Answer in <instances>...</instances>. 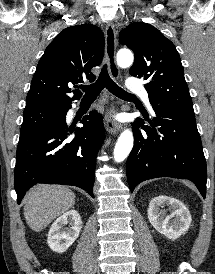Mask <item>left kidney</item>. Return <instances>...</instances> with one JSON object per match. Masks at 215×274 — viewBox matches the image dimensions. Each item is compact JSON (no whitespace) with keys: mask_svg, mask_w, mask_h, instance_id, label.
Wrapping results in <instances>:
<instances>
[{"mask_svg":"<svg viewBox=\"0 0 215 274\" xmlns=\"http://www.w3.org/2000/svg\"><path fill=\"white\" fill-rule=\"evenodd\" d=\"M169 205L170 214L166 215L165 206ZM151 225L168 239L175 240L186 233L191 225V214L179 200L168 197H154L148 208Z\"/></svg>","mask_w":215,"mask_h":274,"instance_id":"obj_1","label":"left kidney"}]
</instances>
